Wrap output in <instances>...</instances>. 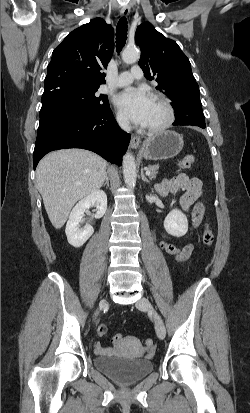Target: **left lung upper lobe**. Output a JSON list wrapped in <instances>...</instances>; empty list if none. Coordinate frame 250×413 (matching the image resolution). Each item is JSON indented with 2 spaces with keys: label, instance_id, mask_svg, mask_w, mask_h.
<instances>
[{
  "label": "left lung upper lobe",
  "instance_id": "left-lung-upper-lobe-1",
  "mask_svg": "<svg viewBox=\"0 0 250 413\" xmlns=\"http://www.w3.org/2000/svg\"><path fill=\"white\" fill-rule=\"evenodd\" d=\"M135 42L142 52L139 65L145 77L157 81L156 89L170 98L173 108L200 99L190 61L175 41L164 37L152 24L143 23L137 27Z\"/></svg>",
  "mask_w": 250,
  "mask_h": 413
}]
</instances>
